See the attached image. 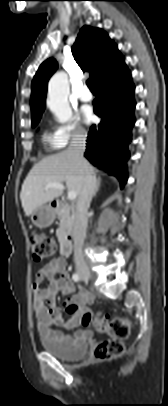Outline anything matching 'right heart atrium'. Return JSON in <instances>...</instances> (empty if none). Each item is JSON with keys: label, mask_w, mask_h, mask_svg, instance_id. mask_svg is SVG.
I'll return each mask as SVG.
<instances>
[{"label": "right heart atrium", "mask_w": 168, "mask_h": 406, "mask_svg": "<svg viewBox=\"0 0 168 406\" xmlns=\"http://www.w3.org/2000/svg\"><path fill=\"white\" fill-rule=\"evenodd\" d=\"M54 136L62 148L70 143L84 140L87 137V131L78 121L72 120L57 125L55 127Z\"/></svg>", "instance_id": "1"}]
</instances>
